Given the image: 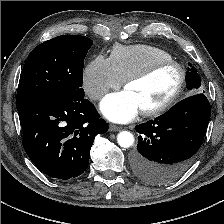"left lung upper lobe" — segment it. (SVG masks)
Returning a JSON list of instances; mask_svg holds the SVG:
<instances>
[{
    "instance_id": "5c2ea615",
    "label": "left lung upper lobe",
    "mask_w": 224,
    "mask_h": 224,
    "mask_svg": "<svg viewBox=\"0 0 224 224\" xmlns=\"http://www.w3.org/2000/svg\"><path fill=\"white\" fill-rule=\"evenodd\" d=\"M189 65L192 66L191 64ZM186 86L191 90L192 94H196L201 91V80L195 67L188 69L186 74Z\"/></svg>"
}]
</instances>
